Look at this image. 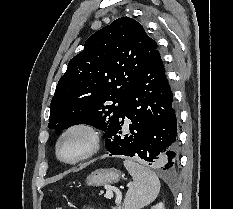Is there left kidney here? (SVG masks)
Returning a JSON list of instances; mask_svg holds the SVG:
<instances>
[{
	"label": "left kidney",
	"instance_id": "left-kidney-1",
	"mask_svg": "<svg viewBox=\"0 0 233 209\" xmlns=\"http://www.w3.org/2000/svg\"><path fill=\"white\" fill-rule=\"evenodd\" d=\"M151 209H165L163 203H158L155 206L151 207Z\"/></svg>",
	"mask_w": 233,
	"mask_h": 209
}]
</instances>
